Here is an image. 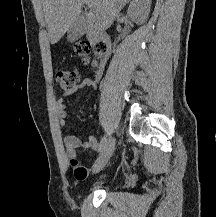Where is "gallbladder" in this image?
I'll list each match as a JSON object with an SVG mask.
<instances>
[{
	"label": "gallbladder",
	"instance_id": "bac80fb5",
	"mask_svg": "<svg viewBox=\"0 0 216 217\" xmlns=\"http://www.w3.org/2000/svg\"><path fill=\"white\" fill-rule=\"evenodd\" d=\"M84 21L80 18L78 21L74 23V25L69 29L67 34V41L73 43L77 41L82 35L85 33Z\"/></svg>",
	"mask_w": 216,
	"mask_h": 217
}]
</instances>
